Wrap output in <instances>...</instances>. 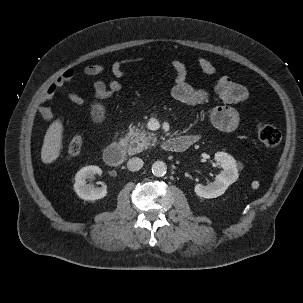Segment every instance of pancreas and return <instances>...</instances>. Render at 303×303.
<instances>
[{
  "label": "pancreas",
  "instance_id": "obj_1",
  "mask_svg": "<svg viewBox=\"0 0 303 303\" xmlns=\"http://www.w3.org/2000/svg\"><path fill=\"white\" fill-rule=\"evenodd\" d=\"M124 139L128 143V153L130 155L148 149L156 142V138L153 133L146 132L135 127L129 128Z\"/></svg>",
  "mask_w": 303,
  "mask_h": 303
}]
</instances>
